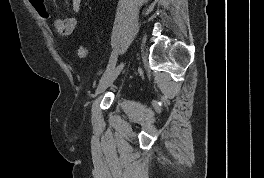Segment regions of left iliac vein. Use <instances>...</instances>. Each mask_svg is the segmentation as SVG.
<instances>
[{
    "mask_svg": "<svg viewBox=\"0 0 264 178\" xmlns=\"http://www.w3.org/2000/svg\"><path fill=\"white\" fill-rule=\"evenodd\" d=\"M125 62H121L118 64L113 70H111L108 74L103 76L99 82V85L96 89L95 96L101 94L103 91H105L118 77V75L121 73V71L125 67Z\"/></svg>",
    "mask_w": 264,
    "mask_h": 178,
    "instance_id": "4c4485c4",
    "label": "left iliac vein"
}]
</instances>
